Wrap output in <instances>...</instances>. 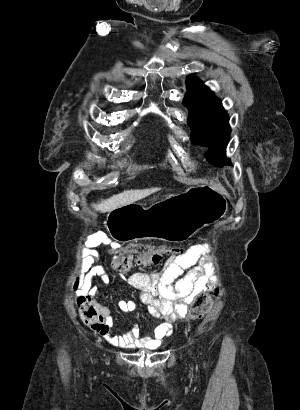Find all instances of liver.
Instances as JSON below:
<instances>
[{
	"mask_svg": "<svg viewBox=\"0 0 300 410\" xmlns=\"http://www.w3.org/2000/svg\"><path fill=\"white\" fill-rule=\"evenodd\" d=\"M156 191V188L152 189H145V190H128L124 191L120 194L113 195L112 197L102 200L98 204H93V208L96 211L105 213V212H110L111 210H114L118 207H121L123 205L131 204L134 203L138 200H141L153 192Z\"/></svg>",
	"mask_w": 300,
	"mask_h": 410,
	"instance_id": "liver-1",
	"label": "liver"
}]
</instances>
